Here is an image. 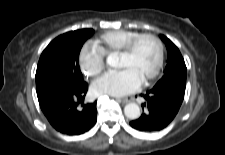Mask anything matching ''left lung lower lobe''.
Returning a JSON list of instances; mask_svg holds the SVG:
<instances>
[{
    "mask_svg": "<svg viewBox=\"0 0 225 155\" xmlns=\"http://www.w3.org/2000/svg\"><path fill=\"white\" fill-rule=\"evenodd\" d=\"M185 88L181 86L153 87L146 94L142 107L146 111L137 120L130 122L131 127L139 131H160L167 127L178 113L183 102Z\"/></svg>",
    "mask_w": 225,
    "mask_h": 155,
    "instance_id": "obj_1",
    "label": "left lung lower lobe"
}]
</instances>
